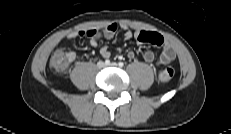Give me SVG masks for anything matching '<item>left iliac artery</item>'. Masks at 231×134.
<instances>
[{
  "mask_svg": "<svg viewBox=\"0 0 231 134\" xmlns=\"http://www.w3.org/2000/svg\"><path fill=\"white\" fill-rule=\"evenodd\" d=\"M118 65H119L120 67H123V66H124V63H123V62H119Z\"/></svg>",
  "mask_w": 231,
  "mask_h": 134,
  "instance_id": "obj_1",
  "label": "left iliac artery"
}]
</instances>
